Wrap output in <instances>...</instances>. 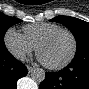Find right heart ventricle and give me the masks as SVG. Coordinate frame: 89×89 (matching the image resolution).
I'll return each mask as SVG.
<instances>
[{
  "mask_svg": "<svg viewBox=\"0 0 89 89\" xmlns=\"http://www.w3.org/2000/svg\"><path fill=\"white\" fill-rule=\"evenodd\" d=\"M58 28L60 26L55 23L28 24L23 27V35L36 47L44 35Z\"/></svg>",
  "mask_w": 89,
  "mask_h": 89,
  "instance_id": "1",
  "label": "right heart ventricle"
}]
</instances>
